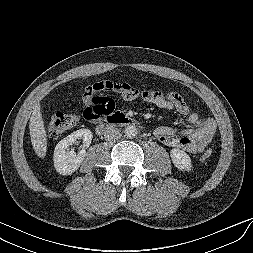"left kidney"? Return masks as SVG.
<instances>
[{"instance_id": "obj_1", "label": "left kidney", "mask_w": 253, "mask_h": 253, "mask_svg": "<svg viewBox=\"0 0 253 253\" xmlns=\"http://www.w3.org/2000/svg\"><path fill=\"white\" fill-rule=\"evenodd\" d=\"M173 164L181 171H191L192 163L189 155L183 150L174 148L170 152Z\"/></svg>"}]
</instances>
